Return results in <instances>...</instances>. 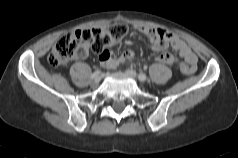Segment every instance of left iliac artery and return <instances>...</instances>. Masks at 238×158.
Listing matches in <instances>:
<instances>
[{
  "mask_svg": "<svg viewBox=\"0 0 238 158\" xmlns=\"http://www.w3.org/2000/svg\"><path fill=\"white\" fill-rule=\"evenodd\" d=\"M138 78L140 81H145L147 79V76H146V74L141 73V74H139Z\"/></svg>",
  "mask_w": 238,
  "mask_h": 158,
  "instance_id": "obj_1",
  "label": "left iliac artery"
}]
</instances>
